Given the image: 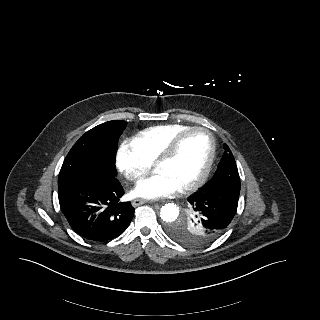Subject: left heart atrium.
Returning a JSON list of instances; mask_svg holds the SVG:
<instances>
[{"label":"left heart atrium","mask_w":320,"mask_h":320,"mask_svg":"<svg viewBox=\"0 0 320 320\" xmlns=\"http://www.w3.org/2000/svg\"><path fill=\"white\" fill-rule=\"evenodd\" d=\"M179 186L166 174L156 171L142 179L134 188L133 195L146 199H158L175 194Z\"/></svg>","instance_id":"39dd6f15"}]
</instances>
